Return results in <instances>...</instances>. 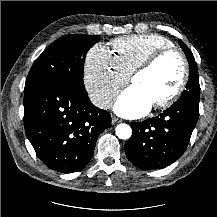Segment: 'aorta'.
<instances>
[{
    "mask_svg": "<svg viewBox=\"0 0 217 217\" xmlns=\"http://www.w3.org/2000/svg\"><path fill=\"white\" fill-rule=\"evenodd\" d=\"M116 135L119 139L127 140L132 135V129L128 124H119L115 129Z\"/></svg>",
    "mask_w": 217,
    "mask_h": 217,
    "instance_id": "1",
    "label": "aorta"
}]
</instances>
